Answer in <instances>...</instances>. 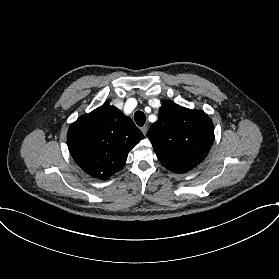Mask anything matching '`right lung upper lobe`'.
I'll return each instance as SVG.
<instances>
[{
  "instance_id": "cb5924a9",
  "label": "right lung upper lobe",
  "mask_w": 279,
  "mask_h": 279,
  "mask_svg": "<svg viewBox=\"0 0 279 279\" xmlns=\"http://www.w3.org/2000/svg\"><path fill=\"white\" fill-rule=\"evenodd\" d=\"M143 137L129 117L104 104L71 124L67 142L80 168L106 180L124 166L128 152Z\"/></svg>"
}]
</instances>
